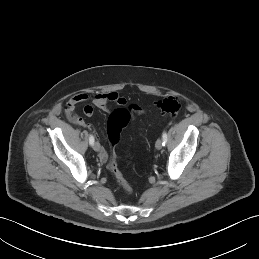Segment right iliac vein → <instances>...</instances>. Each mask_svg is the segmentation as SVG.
<instances>
[{"mask_svg": "<svg viewBox=\"0 0 259 259\" xmlns=\"http://www.w3.org/2000/svg\"><path fill=\"white\" fill-rule=\"evenodd\" d=\"M93 149H94L96 152H98V151L100 150V144H99L98 142H95V143L93 144Z\"/></svg>", "mask_w": 259, "mask_h": 259, "instance_id": "obj_1", "label": "right iliac vein"}]
</instances>
